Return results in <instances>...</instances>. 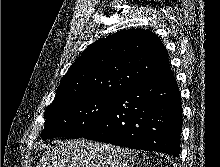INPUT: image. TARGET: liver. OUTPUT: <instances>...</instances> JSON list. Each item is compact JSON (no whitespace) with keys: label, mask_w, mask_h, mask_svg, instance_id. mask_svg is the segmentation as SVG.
Returning <instances> with one entry per match:
<instances>
[{"label":"liver","mask_w":220,"mask_h":167,"mask_svg":"<svg viewBox=\"0 0 220 167\" xmlns=\"http://www.w3.org/2000/svg\"><path fill=\"white\" fill-rule=\"evenodd\" d=\"M46 149L37 167H130L137 155L133 150L84 139L59 141Z\"/></svg>","instance_id":"1"}]
</instances>
